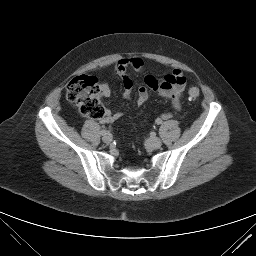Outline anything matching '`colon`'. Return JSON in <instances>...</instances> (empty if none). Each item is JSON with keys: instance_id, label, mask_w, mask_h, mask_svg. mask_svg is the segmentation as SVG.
<instances>
[{"instance_id": "obj_1", "label": "colon", "mask_w": 256, "mask_h": 256, "mask_svg": "<svg viewBox=\"0 0 256 256\" xmlns=\"http://www.w3.org/2000/svg\"><path fill=\"white\" fill-rule=\"evenodd\" d=\"M66 98L76 104L82 115L92 119H102L105 108L99 100L101 87L96 78L80 75L71 79L66 85ZM200 92L197 87L188 90L190 99H197Z\"/></svg>"}]
</instances>
